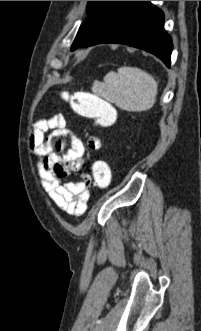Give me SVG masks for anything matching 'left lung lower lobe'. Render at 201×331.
Returning <instances> with one entry per match:
<instances>
[{
	"mask_svg": "<svg viewBox=\"0 0 201 331\" xmlns=\"http://www.w3.org/2000/svg\"><path fill=\"white\" fill-rule=\"evenodd\" d=\"M163 24V12L150 1H119L78 47L125 44L156 55L170 67L173 45Z\"/></svg>",
	"mask_w": 201,
	"mask_h": 331,
	"instance_id": "left-lung-lower-lobe-1",
	"label": "left lung lower lobe"
}]
</instances>
